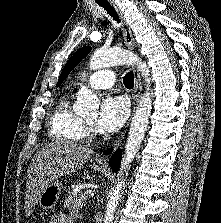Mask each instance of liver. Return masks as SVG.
<instances>
[{"instance_id": "liver-1", "label": "liver", "mask_w": 221, "mask_h": 223, "mask_svg": "<svg viewBox=\"0 0 221 223\" xmlns=\"http://www.w3.org/2000/svg\"><path fill=\"white\" fill-rule=\"evenodd\" d=\"M93 154V150L68 140L52 142L38 150L27 175V216L33 212L39 195L50 183L80 169Z\"/></svg>"}]
</instances>
